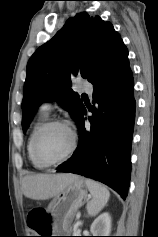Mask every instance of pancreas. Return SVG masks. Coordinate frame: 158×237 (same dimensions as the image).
<instances>
[{
    "label": "pancreas",
    "mask_w": 158,
    "mask_h": 237,
    "mask_svg": "<svg viewBox=\"0 0 158 237\" xmlns=\"http://www.w3.org/2000/svg\"><path fill=\"white\" fill-rule=\"evenodd\" d=\"M72 232H73V235H77L78 233H80L79 230H73Z\"/></svg>",
    "instance_id": "pancreas-1"
}]
</instances>
